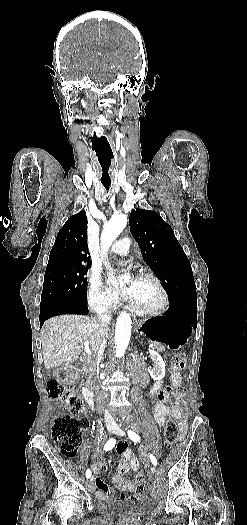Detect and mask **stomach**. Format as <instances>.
<instances>
[{
    "label": "stomach",
    "instance_id": "stomach-1",
    "mask_svg": "<svg viewBox=\"0 0 247 525\" xmlns=\"http://www.w3.org/2000/svg\"><path fill=\"white\" fill-rule=\"evenodd\" d=\"M138 330L149 340L161 343L171 350L182 348L191 334V327L185 322L161 316L141 321Z\"/></svg>",
    "mask_w": 247,
    "mask_h": 525
}]
</instances>
